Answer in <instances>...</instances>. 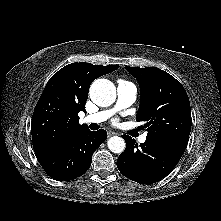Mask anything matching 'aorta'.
Segmentation results:
<instances>
[{"mask_svg":"<svg viewBox=\"0 0 221 221\" xmlns=\"http://www.w3.org/2000/svg\"><path fill=\"white\" fill-rule=\"evenodd\" d=\"M90 98L98 106H110L116 99V88L110 80L97 79L90 87ZM107 145L113 153H122L126 146L124 139L118 136L109 138Z\"/></svg>","mask_w":221,"mask_h":221,"instance_id":"1","label":"aorta"}]
</instances>
